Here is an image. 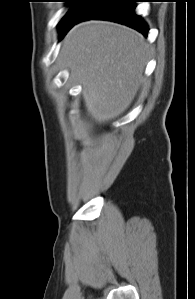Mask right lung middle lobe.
Here are the masks:
<instances>
[{"instance_id": "dd1d6c3e", "label": "right lung middle lobe", "mask_w": 195, "mask_h": 299, "mask_svg": "<svg viewBox=\"0 0 195 299\" xmlns=\"http://www.w3.org/2000/svg\"><path fill=\"white\" fill-rule=\"evenodd\" d=\"M93 2L94 0H68L67 3L71 7L59 23L60 34L62 35L68 26L79 19Z\"/></svg>"}]
</instances>
